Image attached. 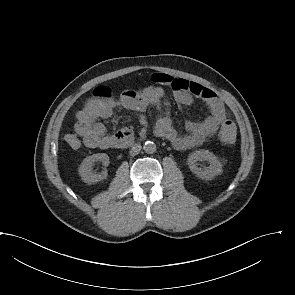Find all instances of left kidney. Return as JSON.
<instances>
[{"mask_svg":"<svg viewBox=\"0 0 295 295\" xmlns=\"http://www.w3.org/2000/svg\"><path fill=\"white\" fill-rule=\"evenodd\" d=\"M198 161H207L210 165L204 169L197 166ZM187 164L194 174L201 179L211 180L222 173V164L218 158L208 150H198L189 154Z\"/></svg>","mask_w":295,"mask_h":295,"instance_id":"1","label":"left kidney"}]
</instances>
